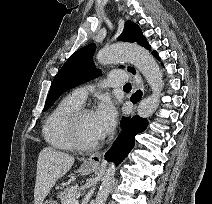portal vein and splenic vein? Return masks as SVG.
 <instances>
[{"label":"portal vein and splenic vein","instance_id":"18ae733b","mask_svg":"<svg viewBox=\"0 0 212 204\" xmlns=\"http://www.w3.org/2000/svg\"><path fill=\"white\" fill-rule=\"evenodd\" d=\"M67 204H79V201L77 198H70L68 199Z\"/></svg>","mask_w":212,"mask_h":204}]
</instances>
